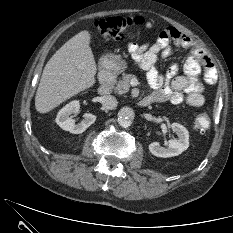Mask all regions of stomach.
<instances>
[{"mask_svg": "<svg viewBox=\"0 0 233 233\" xmlns=\"http://www.w3.org/2000/svg\"><path fill=\"white\" fill-rule=\"evenodd\" d=\"M110 59H111V64H110L111 69L114 72L119 73V72H122L125 70L126 64L123 60H121V58L119 56L111 55Z\"/></svg>", "mask_w": 233, "mask_h": 233, "instance_id": "obj_1", "label": "stomach"}]
</instances>
